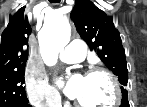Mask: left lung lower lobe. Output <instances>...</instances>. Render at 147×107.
Instances as JSON below:
<instances>
[{
	"label": "left lung lower lobe",
	"mask_w": 147,
	"mask_h": 107,
	"mask_svg": "<svg viewBox=\"0 0 147 107\" xmlns=\"http://www.w3.org/2000/svg\"><path fill=\"white\" fill-rule=\"evenodd\" d=\"M120 107H129L127 98L122 99Z\"/></svg>",
	"instance_id": "0a47b994"
}]
</instances>
